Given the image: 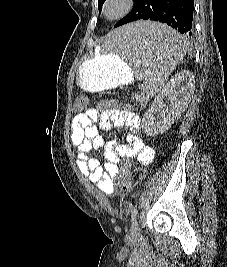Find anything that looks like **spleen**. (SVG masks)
I'll use <instances>...</instances> for the list:
<instances>
[{
  "label": "spleen",
  "instance_id": "1",
  "mask_svg": "<svg viewBox=\"0 0 227 267\" xmlns=\"http://www.w3.org/2000/svg\"><path fill=\"white\" fill-rule=\"evenodd\" d=\"M96 47H105L104 55H123L142 63L141 76L127 81H147L151 93L164 85L187 52V43L174 29L158 19H133L118 25L116 33L100 36Z\"/></svg>",
  "mask_w": 227,
  "mask_h": 267
}]
</instances>
